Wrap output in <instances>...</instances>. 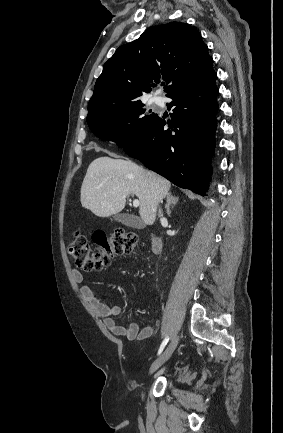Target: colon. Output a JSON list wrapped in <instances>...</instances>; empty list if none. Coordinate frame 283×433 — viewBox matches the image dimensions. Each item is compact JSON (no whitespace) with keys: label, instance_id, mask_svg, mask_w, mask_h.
I'll return each instance as SVG.
<instances>
[{"label":"colon","instance_id":"1","mask_svg":"<svg viewBox=\"0 0 283 433\" xmlns=\"http://www.w3.org/2000/svg\"><path fill=\"white\" fill-rule=\"evenodd\" d=\"M93 241L97 245L96 250L91 249L87 236L77 231L67 244L76 266L84 271H100L110 264L114 256L132 253L138 238L135 233L119 229L110 236L95 234Z\"/></svg>","mask_w":283,"mask_h":433}]
</instances>
